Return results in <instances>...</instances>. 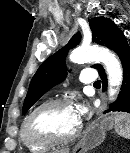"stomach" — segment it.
I'll use <instances>...</instances> for the list:
<instances>
[{"label":"stomach","mask_w":130,"mask_h":153,"mask_svg":"<svg viewBox=\"0 0 130 153\" xmlns=\"http://www.w3.org/2000/svg\"><path fill=\"white\" fill-rule=\"evenodd\" d=\"M113 117H104L99 123H93L85 132L81 147L88 150L97 147L105 138L106 130L113 127Z\"/></svg>","instance_id":"stomach-1"}]
</instances>
